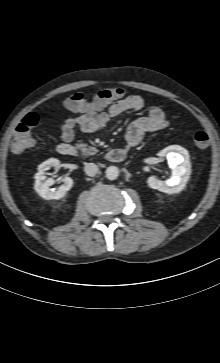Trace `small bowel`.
Here are the masks:
<instances>
[{"label": "small bowel", "instance_id": "c3829d8e", "mask_svg": "<svg viewBox=\"0 0 220 363\" xmlns=\"http://www.w3.org/2000/svg\"><path fill=\"white\" fill-rule=\"evenodd\" d=\"M145 107L144 99L139 95H129L107 105H100L95 100L87 101L85 107L76 111V115L66 119L60 125V138L70 143L78 128L85 133H94L104 128L114 117L123 113H135ZM168 126L164 111L157 106L136 119L128 128L125 142L128 147L138 145L147 133L158 132Z\"/></svg>", "mask_w": 220, "mask_h": 363}]
</instances>
